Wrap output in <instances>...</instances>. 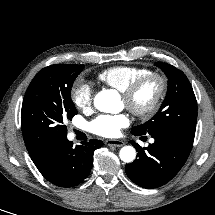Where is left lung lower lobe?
<instances>
[{"mask_svg":"<svg viewBox=\"0 0 215 215\" xmlns=\"http://www.w3.org/2000/svg\"><path fill=\"white\" fill-rule=\"evenodd\" d=\"M150 135L155 141L146 148L131 141L138 150L137 158L125 166L129 179L143 188H157L169 182L186 162L193 145V141L172 132Z\"/></svg>","mask_w":215,"mask_h":215,"instance_id":"0a47b994","label":"left lung lower lobe"}]
</instances>
